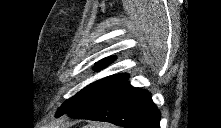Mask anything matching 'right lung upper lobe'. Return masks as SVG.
<instances>
[{"instance_id": "right-lung-upper-lobe-1", "label": "right lung upper lobe", "mask_w": 221, "mask_h": 128, "mask_svg": "<svg viewBox=\"0 0 221 128\" xmlns=\"http://www.w3.org/2000/svg\"><path fill=\"white\" fill-rule=\"evenodd\" d=\"M113 60H114V58H112V57L103 59L102 61H100L99 63H97L95 65L94 70L99 71V70L105 68L111 62H113ZM115 76H127V75H125V74H117Z\"/></svg>"}]
</instances>
